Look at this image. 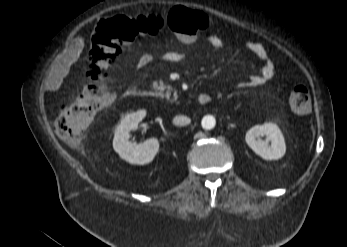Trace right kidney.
Listing matches in <instances>:
<instances>
[{
    "mask_svg": "<svg viewBox=\"0 0 347 247\" xmlns=\"http://www.w3.org/2000/svg\"><path fill=\"white\" fill-rule=\"evenodd\" d=\"M146 112H138L125 116L115 130L113 148L120 158L130 164L144 165L150 163L159 150L157 139L150 138L143 144L129 141L130 132L137 129L138 124L145 117Z\"/></svg>",
    "mask_w": 347,
    "mask_h": 247,
    "instance_id": "ca27d5eb",
    "label": "right kidney"
}]
</instances>
